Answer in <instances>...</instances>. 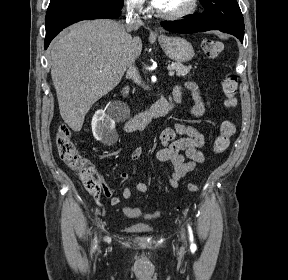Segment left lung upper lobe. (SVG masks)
I'll return each mask as SVG.
<instances>
[{
    "instance_id": "1",
    "label": "left lung upper lobe",
    "mask_w": 288,
    "mask_h": 280,
    "mask_svg": "<svg viewBox=\"0 0 288 280\" xmlns=\"http://www.w3.org/2000/svg\"><path fill=\"white\" fill-rule=\"evenodd\" d=\"M205 8L203 14L221 25L244 33V21L236 0H200Z\"/></svg>"
}]
</instances>
